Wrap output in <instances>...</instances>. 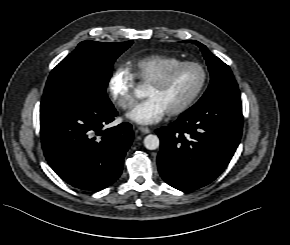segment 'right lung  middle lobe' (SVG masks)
I'll use <instances>...</instances> for the list:
<instances>
[{
	"mask_svg": "<svg viewBox=\"0 0 290 245\" xmlns=\"http://www.w3.org/2000/svg\"><path fill=\"white\" fill-rule=\"evenodd\" d=\"M132 41H83L50 73L41 101V113L80 105H107L106 87L113 63Z\"/></svg>",
	"mask_w": 290,
	"mask_h": 245,
	"instance_id": "1",
	"label": "right lung middle lobe"
}]
</instances>
